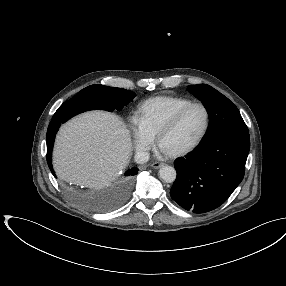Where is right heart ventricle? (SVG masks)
<instances>
[{
	"mask_svg": "<svg viewBox=\"0 0 286 286\" xmlns=\"http://www.w3.org/2000/svg\"><path fill=\"white\" fill-rule=\"evenodd\" d=\"M190 103L192 100L184 97L155 96L142 103L139 109V118L145 128L155 136L179 109Z\"/></svg>",
	"mask_w": 286,
	"mask_h": 286,
	"instance_id": "e07e8e85",
	"label": "right heart ventricle"
}]
</instances>
